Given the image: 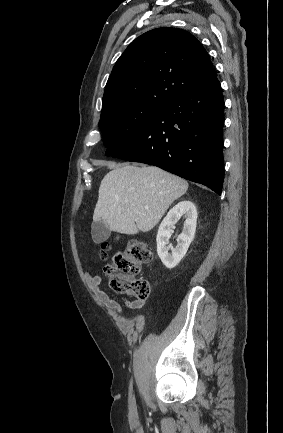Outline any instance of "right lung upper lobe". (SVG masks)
Masks as SVG:
<instances>
[{
  "label": "right lung upper lobe",
  "instance_id": "obj_1",
  "mask_svg": "<svg viewBox=\"0 0 283 433\" xmlns=\"http://www.w3.org/2000/svg\"><path fill=\"white\" fill-rule=\"evenodd\" d=\"M217 80L201 43L182 29L162 27L136 38L107 81L102 112L125 104L165 106Z\"/></svg>",
  "mask_w": 283,
  "mask_h": 433
}]
</instances>
